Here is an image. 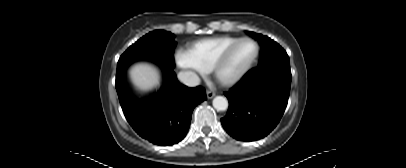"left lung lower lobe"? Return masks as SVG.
Returning <instances> with one entry per match:
<instances>
[{
  "instance_id": "left-lung-lower-lobe-1",
  "label": "left lung lower lobe",
  "mask_w": 406,
  "mask_h": 168,
  "mask_svg": "<svg viewBox=\"0 0 406 168\" xmlns=\"http://www.w3.org/2000/svg\"><path fill=\"white\" fill-rule=\"evenodd\" d=\"M290 68L275 64L258 65L249 70L230 91L224 129L240 141H254L267 136L280 121L287 106Z\"/></svg>"
}]
</instances>
